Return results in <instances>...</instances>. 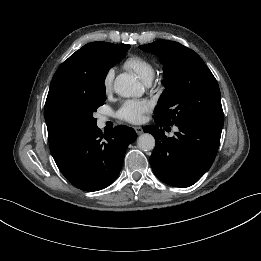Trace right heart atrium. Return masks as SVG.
Returning a JSON list of instances; mask_svg holds the SVG:
<instances>
[{
	"label": "right heart atrium",
	"instance_id": "1",
	"mask_svg": "<svg viewBox=\"0 0 261 261\" xmlns=\"http://www.w3.org/2000/svg\"><path fill=\"white\" fill-rule=\"evenodd\" d=\"M113 79H114V70L108 69L102 80V85L106 93H109L112 90Z\"/></svg>",
	"mask_w": 261,
	"mask_h": 261
}]
</instances>
